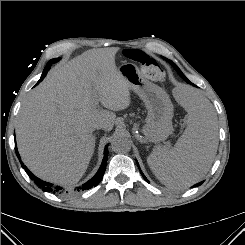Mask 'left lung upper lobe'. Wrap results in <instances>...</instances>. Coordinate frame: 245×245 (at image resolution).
<instances>
[{
	"label": "left lung upper lobe",
	"instance_id": "left-lung-upper-lobe-1",
	"mask_svg": "<svg viewBox=\"0 0 245 245\" xmlns=\"http://www.w3.org/2000/svg\"><path fill=\"white\" fill-rule=\"evenodd\" d=\"M166 61H168L169 63L170 62H172V61H170V60H168V59H166V58H164ZM173 63V62H172ZM174 64V63H173ZM175 69H176V71L179 73V75L182 77V75H184L182 72H181V70L174 64V66H173Z\"/></svg>",
	"mask_w": 245,
	"mask_h": 245
}]
</instances>
